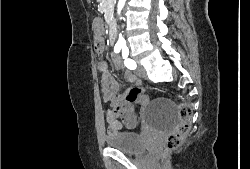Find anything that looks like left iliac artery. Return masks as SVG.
Masks as SVG:
<instances>
[{
  "mask_svg": "<svg viewBox=\"0 0 250 169\" xmlns=\"http://www.w3.org/2000/svg\"><path fill=\"white\" fill-rule=\"evenodd\" d=\"M128 55H129V50L122 51V57L124 59L125 66L130 70H134L137 67L136 62L134 60L128 58Z\"/></svg>",
  "mask_w": 250,
  "mask_h": 169,
  "instance_id": "obj_1",
  "label": "left iliac artery"
}]
</instances>
